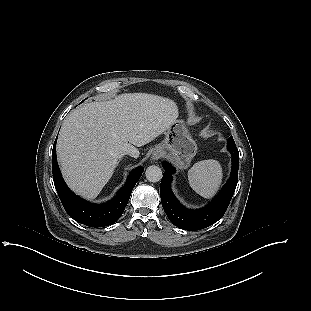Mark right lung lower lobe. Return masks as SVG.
<instances>
[{
  "mask_svg": "<svg viewBox=\"0 0 311 311\" xmlns=\"http://www.w3.org/2000/svg\"><path fill=\"white\" fill-rule=\"evenodd\" d=\"M52 168L54 185L64 209L74 220L89 227L109 226L121 217L132 189L144 170L141 166L134 169L129 175L126 184L118 191L115 198L105 204L98 205L81 199L64 183L57 164L56 141L52 151Z\"/></svg>",
  "mask_w": 311,
  "mask_h": 311,
  "instance_id": "1",
  "label": "right lung lower lobe"
}]
</instances>
